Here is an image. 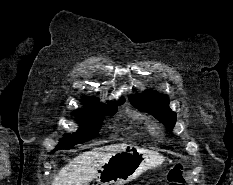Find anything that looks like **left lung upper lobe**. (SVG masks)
I'll return each instance as SVG.
<instances>
[{
	"label": "left lung upper lobe",
	"instance_id": "5c2ea615",
	"mask_svg": "<svg viewBox=\"0 0 233 185\" xmlns=\"http://www.w3.org/2000/svg\"><path fill=\"white\" fill-rule=\"evenodd\" d=\"M132 105L140 111H145L153 115L162 122L167 128L174 127L176 114L169 108V100L166 95L156 94L154 92L143 93L142 95L129 96Z\"/></svg>",
	"mask_w": 233,
	"mask_h": 185
}]
</instances>
